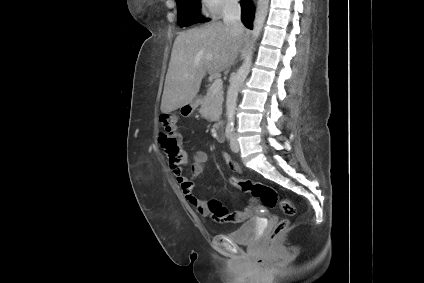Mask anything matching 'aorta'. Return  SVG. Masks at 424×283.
Returning <instances> with one entry per match:
<instances>
[{
  "instance_id": "1",
  "label": "aorta",
  "mask_w": 424,
  "mask_h": 283,
  "mask_svg": "<svg viewBox=\"0 0 424 283\" xmlns=\"http://www.w3.org/2000/svg\"><path fill=\"white\" fill-rule=\"evenodd\" d=\"M269 0H258L257 8L255 13L254 25L252 30V36L250 39V44L244 54V61L241 67L238 69L237 73L233 77L230 86L227 91L226 97V120L228 126H233L235 122V110H236V101L238 97V92L248 76L251 63L253 58V50L256 40L261 34L264 23L268 15Z\"/></svg>"
}]
</instances>
